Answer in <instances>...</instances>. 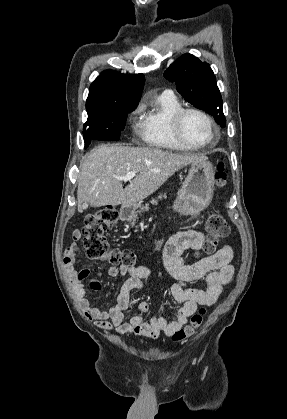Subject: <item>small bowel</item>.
Segmentation results:
<instances>
[{
    "mask_svg": "<svg viewBox=\"0 0 287 419\" xmlns=\"http://www.w3.org/2000/svg\"><path fill=\"white\" fill-rule=\"evenodd\" d=\"M79 231L72 233L73 242L65 249L64 266L71 278L74 292L85 312V315L104 330H115L120 335L135 334L142 338L156 339L161 334L172 336L194 314L198 305H212L216 302L225 284L229 283L234 274L231 264L233 250L229 245H224L214 254L202 259L193 265H185L181 255L186 249L202 248L205 237L196 230L180 231L169 238L163 251V261L167 271L178 281L170 288L172 298L182 303L174 313V318L168 320L164 317H153L145 321L141 315H133L128 322L125 321L126 311L130 308V295L142 286L144 280L152 276V271L146 267L128 265H111L108 274L111 277L126 276L127 279L121 286L116 304L102 310L91 304L83 281L92 273L91 268L76 270L74 264L80 256L78 241ZM203 279L204 289L185 287V283ZM90 288L100 290L102 283L99 278L89 282ZM140 312H147V302L137 305Z\"/></svg>",
    "mask_w": 287,
    "mask_h": 419,
    "instance_id": "c3829d8e",
    "label": "small bowel"
}]
</instances>
